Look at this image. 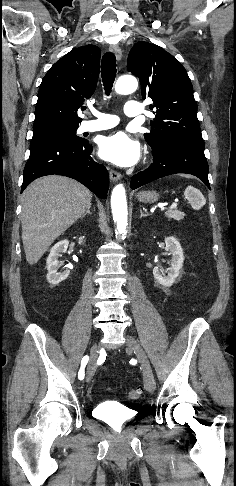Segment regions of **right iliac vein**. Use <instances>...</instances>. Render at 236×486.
Here are the masks:
<instances>
[{
    "mask_svg": "<svg viewBox=\"0 0 236 486\" xmlns=\"http://www.w3.org/2000/svg\"><path fill=\"white\" fill-rule=\"evenodd\" d=\"M98 351H99L98 345L94 344L90 350V360L87 368L86 380L88 382L91 381L96 371V361L98 357Z\"/></svg>",
    "mask_w": 236,
    "mask_h": 486,
    "instance_id": "obj_1",
    "label": "right iliac vein"
}]
</instances>
